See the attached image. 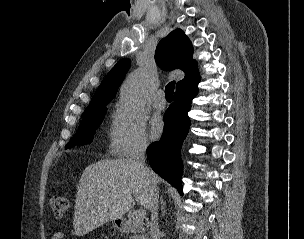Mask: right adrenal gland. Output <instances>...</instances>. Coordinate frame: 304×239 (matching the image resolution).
<instances>
[{
    "mask_svg": "<svg viewBox=\"0 0 304 239\" xmlns=\"http://www.w3.org/2000/svg\"><path fill=\"white\" fill-rule=\"evenodd\" d=\"M160 202H161L162 216H164L165 213H166V210H165V208H164L165 203H164V201H163V198L160 199Z\"/></svg>",
    "mask_w": 304,
    "mask_h": 239,
    "instance_id": "1",
    "label": "right adrenal gland"
}]
</instances>
